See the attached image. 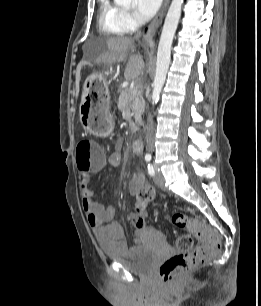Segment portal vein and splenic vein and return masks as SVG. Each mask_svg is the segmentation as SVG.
Returning <instances> with one entry per match:
<instances>
[{"mask_svg": "<svg viewBox=\"0 0 261 306\" xmlns=\"http://www.w3.org/2000/svg\"><path fill=\"white\" fill-rule=\"evenodd\" d=\"M132 93L136 94L138 92L137 88L135 86H130Z\"/></svg>", "mask_w": 261, "mask_h": 306, "instance_id": "portal-vein-and-splenic-vein-1", "label": "portal vein and splenic vein"}]
</instances>
